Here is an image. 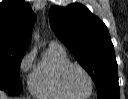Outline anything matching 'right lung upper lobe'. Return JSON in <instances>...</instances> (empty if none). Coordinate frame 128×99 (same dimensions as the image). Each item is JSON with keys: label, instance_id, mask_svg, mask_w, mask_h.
Segmentation results:
<instances>
[{"label": "right lung upper lobe", "instance_id": "1", "mask_svg": "<svg viewBox=\"0 0 128 99\" xmlns=\"http://www.w3.org/2000/svg\"><path fill=\"white\" fill-rule=\"evenodd\" d=\"M35 19L24 0L0 3V51L26 52Z\"/></svg>", "mask_w": 128, "mask_h": 99}]
</instances>
